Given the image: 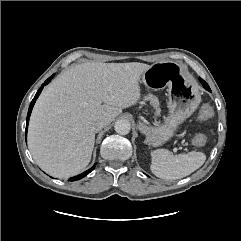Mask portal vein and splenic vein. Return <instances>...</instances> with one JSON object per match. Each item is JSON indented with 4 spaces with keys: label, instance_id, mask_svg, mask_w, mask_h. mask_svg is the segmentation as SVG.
<instances>
[{
    "label": "portal vein and splenic vein",
    "instance_id": "obj_1",
    "mask_svg": "<svg viewBox=\"0 0 241 241\" xmlns=\"http://www.w3.org/2000/svg\"><path fill=\"white\" fill-rule=\"evenodd\" d=\"M177 151H178V148H173V153H177Z\"/></svg>",
    "mask_w": 241,
    "mask_h": 241
}]
</instances>
